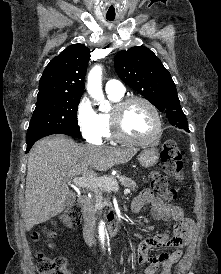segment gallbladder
I'll list each match as a JSON object with an SVG mask.
<instances>
[{
    "label": "gallbladder",
    "mask_w": 221,
    "mask_h": 274,
    "mask_svg": "<svg viewBox=\"0 0 221 274\" xmlns=\"http://www.w3.org/2000/svg\"><path fill=\"white\" fill-rule=\"evenodd\" d=\"M75 200H76L75 195L73 193H69V195L66 198L65 205L71 206L74 204Z\"/></svg>",
    "instance_id": "obj_1"
}]
</instances>
